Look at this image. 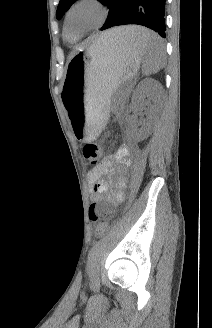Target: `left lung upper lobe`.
Returning <instances> with one entry per match:
<instances>
[{
  "instance_id": "left-lung-upper-lobe-1",
  "label": "left lung upper lobe",
  "mask_w": 212,
  "mask_h": 328,
  "mask_svg": "<svg viewBox=\"0 0 212 328\" xmlns=\"http://www.w3.org/2000/svg\"><path fill=\"white\" fill-rule=\"evenodd\" d=\"M75 1L76 0H60L56 11L57 19H60ZM98 1L104 4L106 0H98Z\"/></svg>"
}]
</instances>
